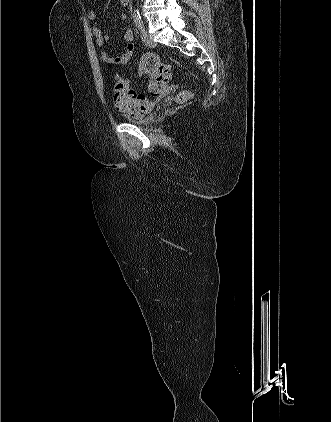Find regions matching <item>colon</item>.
Listing matches in <instances>:
<instances>
[{"label":"colon","mask_w":331,"mask_h":422,"mask_svg":"<svg viewBox=\"0 0 331 422\" xmlns=\"http://www.w3.org/2000/svg\"><path fill=\"white\" fill-rule=\"evenodd\" d=\"M138 72L150 78L148 90L153 96L159 97L164 94L170 81L171 71L157 55L144 54L139 61ZM190 97L191 94L185 92L179 95L178 100L183 102ZM114 103L117 110L136 117L148 113L153 107V103L130 88L127 79L122 76H117L115 79Z\"/></svg>","instance_id":"colon-1"}]
</instances>
